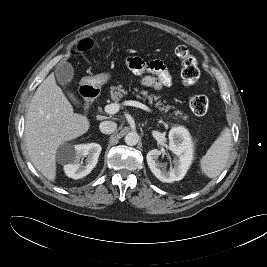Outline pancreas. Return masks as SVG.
<instances>
[{
  "mask_svg": "<svg viewBox=\"0 0 267 267\" xmlns=\"http://www.w3.org/2000/svg\"><path fill=\"white\" fill-rule=\"evenodd\" d=\"M135 91L138 92V89H135ZM127 93H128V91L125 90L124 88H122V85L112 86L111 87V90H110L111 98L115 102L120 101V99L123 96L127 95ZM140 93L143 96H147V98H148V100H149L150 103H152L153 100L156 101V100H158L160 98V96L148 95V92L145 91V90L141 91ZM138 97H140V96L138 95ZM155 105H156V107H158L159 110L165 111V112H167L171 108H174L173 106H169V105L160 107L162 105V102L161 101H158ZM174 115L176 116L175 118L180 117V118H182L185 121L188 120V116L187 115H184L183 116V113L181 111H179V110L175 111L174 112Z\"/></svg>",
  "mask_w": 267,
  "mask_h": 267,
  "instance_id": "1",
  "label": "pancreas"
}]
</instances>
